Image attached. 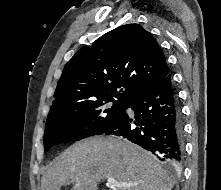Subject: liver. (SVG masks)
Listing matches in <instances>:
<instances>
[{
    "label": "liver",
    "instance_id": "liver-1",
    "mask_svg": "<svg viewBox=\"0 0 221 190\" xmlns=\"http://www.w3.org/2000/svg\"><path fill=\"white\" fill-rule=\"evenodd\" d=\"M105 178L130 187L112 190H172L173 180L148 152L120 138L92 137L63 151L41 179V190H97Z\"/></svg>",
    "mask_w": 221,
    "mask_h": 190
}]
</instances>
